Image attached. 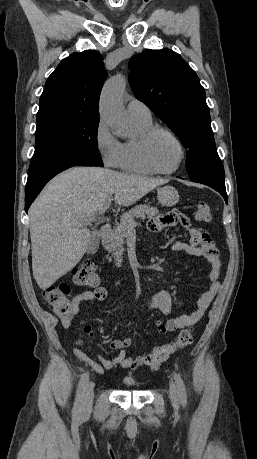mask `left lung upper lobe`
<instances>
[{"label": "left lung upper lobe", "mask_w": 257, "mask_h": 459, "mask_svg": "<svg viewBox=\"0 0 257 459\" xmlns=\"http://www.w3.org/2000/svg\"><path fill=\"white\" fill-rule=\"evenodd\" d=\"M129 81L145 103L188 149L186 169L193 181H224L215 148L205 90L194 70L170 49L145 50L131 58Z\"/></svg>", "instance_id": "1"}]
</instances>
